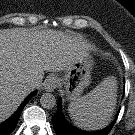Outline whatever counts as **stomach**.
<instances>
[{
    "label": "stomach",
    "mask_w": 135,
    "mask_h": 135,
    "mask_svg": "<svg viewBox=\"0 0 135 135\" xmlns=\"http://www.w3.org/2000/svg\"><path fill=\"white\" fill-rule=\"evenodd\" d=\"M93 65V57L87 53L64 71L63 76L59 78V83L65 88L68 100H77L89 86Z\"/></svg>",
    "instance_id": "0dacf381"
}]
</instances>
